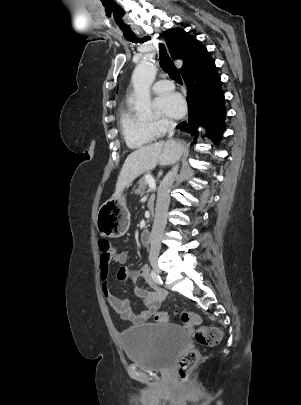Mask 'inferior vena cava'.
I'll return each mask as SVG.
<instances>
[{
	"label": "inferior vena cava",
	"instance_id": "obj_1",
	"mask_svg": "<svg viewBox=\"0 0 301 405\" xmlns=\"http://www.w3.org/2000/svg\"><path fill=\"white\" fill-rule=\"evenodd\" d=\"M168 127V137L170 141H174L172 136L174 134V129L176 123L173 121H167ZM178 164H176L172 170L165 176L157 195L155 218L151 231V248L150 254H158L161 248V237L164 232L166 223H167V213L170 203V187L175 181V178L178 173Z\"/></svg>",
	"mask_w": 301,
	"mask_h": 405
}]
</instances>
